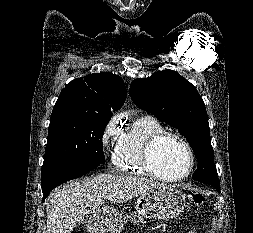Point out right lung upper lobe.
<instances>
[{
    "label": "right lung upper lobe",
    "instance_id": "1",
    "mask_svg": "<svg viewBox=\"0 0 253 233\" xmlns=\"http://www.w3.org/2000/svg\"><path fill=\"white\" fill-rule=\"evenodd\" d=\"M126 99L121 77L110 72L93 73L72 80L61 91L53 109H73L112 115Z\"/></svg>",
    "mask_w": 253,
    "mask_h": 233
}]
</instances>
